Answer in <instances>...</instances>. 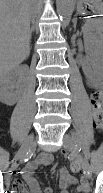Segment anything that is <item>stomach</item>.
Wrapping results in <instances>:
<instances>
[{"label": "stomach", "mask_w": 103, "mask_h": 193, "mask_svg": "<svg viewBox=\"0 0 103 193\" xmlns=\"http://www.w3.org/2000/svg\"><path fill=\"white\" fill-rule=\"evenodd\" d=\"M103 0H77V10L81 14L100 13Z\"/></svg>", "instance_id": "1"}]
</instances>
